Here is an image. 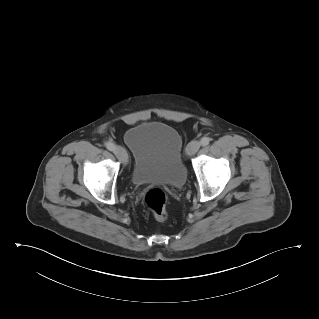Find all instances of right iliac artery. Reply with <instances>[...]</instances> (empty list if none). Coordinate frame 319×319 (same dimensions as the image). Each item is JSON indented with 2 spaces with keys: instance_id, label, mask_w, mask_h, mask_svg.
I'll return each mask as SVG.
<instances>
[{
  "instance_id": "82829eb1",
  "label": "right iliac artery",
  "mask_w": 319,
  "mask_h": 319,
  "mask_svg": "<svg viewBox=\"0 0 319 319\" xmlns=\"http://www.w3.org/2000/svg\"><path fill=\"white\" fill-rule=\"evenodd\" d=\"M106 148L110 151H114L115 150V145L113 143L107 142L105 144Z\"/></svg>"
}]
</instances>
